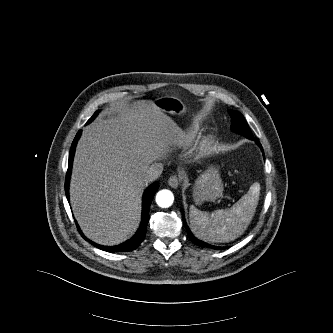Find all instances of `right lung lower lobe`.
I'll return each mask as SVG.
<instances>
[{
  "mask_svg": "<svg viewBox=\"0 0 333 333\" xmlns=\"http://www.w3.org/2000/svg\"><path fill=\"white\" fill-rule=\"evenodd\" d=\"M80 135H81V131H79L77 133V135L72 143L70 154H69L68 170H67L66 181H65V193H66V197H67L68 201H69V180H70V176H71L73 157H74V153H75L76 144H77V141H78ZM158 187H159V184L157 182H155L146 189L144 196H143L142 221H141L140 227H139L137 233L134 235V237L127 240L126 242H124L120 245H117V246H112V247L101 246L99 244L92 242L89 239H86L83 236L82 232L80 231L79 227L77 226L78 230L80 231L81 235L89 243H91L92 245H94L95 247H97L101 250H104L107 252H126V251L134 250L135 248H137L139 246V244L143 241V239L145 237L147 224H148V220H149V208H150L151 202L153 200V197H154L156 191L158 190Z\"/></svg>",
  "mask_w": 333,
  "mask_h": 333,
  "instance_id": "1",
  "label": "right lung lower lobe"
}]
</instances>
